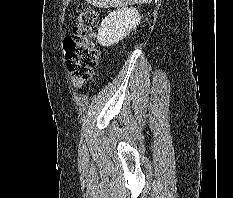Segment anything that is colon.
<instances>
[{
    "instance_id": "5ec220e1",
    "label": "colon",
    "mask_w": 233,
    "mask_h": 198,
    "mask_svg": "<svg viewBox=\"0 0 233 198\" xmlns=\"http://www.w3.org/2000/svg\"><path fill=\"white\" fill-rule=\"evenodd\" d=\"M97 24V12L80 4L73 32L64 40L67 67L76 87L88 82L98 67L99 53L93 43Z\"/></svg>"
}]
</instances>
